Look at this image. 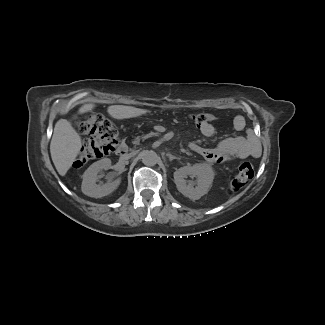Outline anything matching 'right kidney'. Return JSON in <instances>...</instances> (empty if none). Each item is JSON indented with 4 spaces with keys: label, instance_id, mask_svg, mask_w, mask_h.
<instances>
[{
    "label": "right kidney",
    "instance_id": "1",
    "mask_svg": "<svg viewBox=\"0 0 325 325\" xmlns=\"http://www.w3.org/2000/svg\"><path fill=\"white\" fill-rule=\"evenodd\" d=\"M111 167V160L108 158L101 159L94 162L83 174V181L81 185L82 192L94 198H101L111 194L117 189L121 183V178H117L112 182L103 185L96 184L98 181V173L101 170H108Z\"/></svg>",
    "mask_w": 325,
    "mask_h": 325
}]
</instances>
